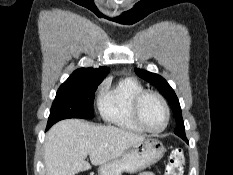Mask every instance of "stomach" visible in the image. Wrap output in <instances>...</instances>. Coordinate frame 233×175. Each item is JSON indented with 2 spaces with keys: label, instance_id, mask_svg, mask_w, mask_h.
I'll return each instance as SVG.
<instances>
[{
  "label": "stomach",
  "instance_id": "1",
  "mask_svg": "<svg viewBox=\"0 0 233 175\" xmlns=\"http://www.w3.org/2000/svg\"><path fill=\"white\" fill-rule=\"evenodd\" d=\"M165 153L162 142L156 138H146L134 145L119 158L111 160L98 169V175H122L123 172L134 174L141 172L158 162Z\"/></svg>",
  "mask_w": 233,
  "mask_h": 175
}]
</instances>
